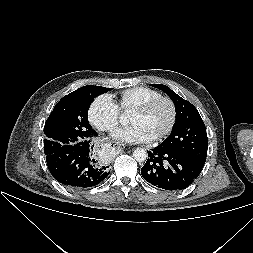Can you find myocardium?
<instances>
[{
	"label": "myocardium",
	"instance_id": "f54148a6",
	"mask_svg": "<svg viewBox=\"0 0 253 253\" xmlns=\"http://www.w3.org/2000/svg\"><path fill=\"white\" fill-rule=\"evenodd\" d=\"M159 103L168 104V106L170 107V111H171V119H170V122H169L168 126L166 127V129L160 135L153 138L154 141L164 140L165 138H167L171 134V132L175 128V125L177 123L178 113H177V107H176V104L174 103V101L168 97L159 96L157 98L151 99V100L143 103L142 105L133 109L131 112V113H140V114L147 113L150 110H152Z\"/></svg>",
	"mask_w": 253,
	"mask_h": 253
}]
</instances>
